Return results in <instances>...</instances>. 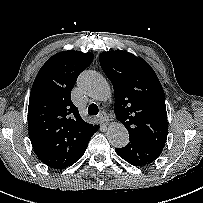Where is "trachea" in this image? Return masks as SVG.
Returning <instances> with one entry per match:
<instances>
[{
  "mask_svg": "<svg viewBox=\"0 0 203 203\" xmlns=\"http://www.w3.org/2000/svg\"><path fill=\"white\" fill-rule=\"evenodd\" d=\"M99 112V108L96 104H90L88 107V114L89 115H97Z\"/></svg>",
  "mask_w": 203,
  "mask_h": 203,
  "instance_id": "3493384b",
  "label": "trachea"
}]
</instances>
